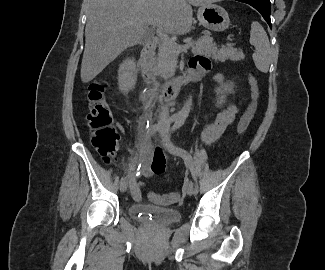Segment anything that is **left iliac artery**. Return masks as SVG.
<instances>
[{
    "mask_svg": "<svg viewBox=\"0 0 325 270\" xmlns=\"http://www.w3.org/2000/svg\"><path fill=\"white\" fill-rule=\"evenodd\" d=\"M180 126H181L180 121L175 122V124L171 128V133L174 132L175 130H177L178 128H180ZM172 150L177 155L181 156L185 160L188 167L190 168L191 174H192V176H193V178H194V180L196 182L194 193L197 194L198 193L197 177H196V171H195V168H194V164H193L191 155L185 149H183L181 147H178V146H175L173 144H172Z\"/></svg>",
    "mask_w": 325,
    "mask_h": 270,
    "instance_id": "44dca946",
    "label": "left iliac artery"
}]
</instances>
